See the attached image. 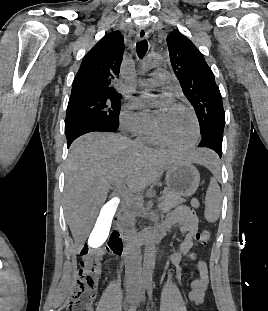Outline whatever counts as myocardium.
I'll return each instance as SVG.
<instances>
[{"label":"myocardium","instance_id":"1","mask_svg":"<svg viewBox=\"0 0 268 311\" xmlns=\"http://www.w3.org/2000/svg\"><path fill=\"white\" fill-rule=\"evenodd\" d=\"M175 106L186 111L189 114V116L191 117V119L193 121V125H194V136H193L192 140L190 142H188L187 144H184V145H178V144H175V143H172V142L166 140L159 131L157 119L154 120V134H155L157 140L161 144H163L164 146H167L169 148H172V149H175L178 151H188V150L192 149L197 144V142L199 141L200 124H199V121H198V118H197L195 112L190 107H188L184 104H181V103H178Z\"/></svg>","mask_w":268,"mask_h":311}]
</instances>
